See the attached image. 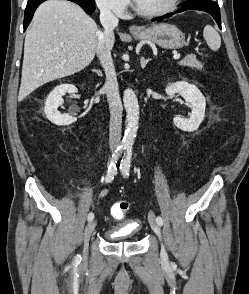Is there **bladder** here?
Listing matches in <instances>:
<instances>
[{
  "instance_id": "bladder-1",
  "label": "bladder",
  "mask_w": 249,
  "mask_h": 294,
  "mask_svg": "<svg viewBox=\"0 0 249 294\" xmlns=\"http://www.w3.org/2000/svg\"><path fill=\"white\" fill-rule=\"evenodd\" d=\"M134 221L124 220L122 225L108 231L105 239L108 242L118 241L122 239L134 240L141 232V227L133 226Z\"/></svg>"
}]
</instances>
